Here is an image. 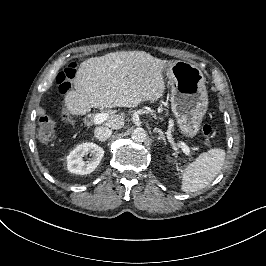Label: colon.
<instances>
[{"mask_svg":"<svg viewBox=\"0 0 266 266\" xmlns=\"http://www.w3.org/2000/svg\"><path fill=\"white\" fill-rule=\"evenodd\" d=\"M77 65L75 63L68 64L58 77V87L60 92L67 93L72 87L71 81L75 77ZM55 120L43 115L38 119V138L41 141L48 142L55 136ZM212 128L208 124H203L200 128V135L203 141L207 142L211 136Z\"/></svg>","mask_w":266,"mask_h":266,"instance_id":"1","label":"colon"}]
</instances>
